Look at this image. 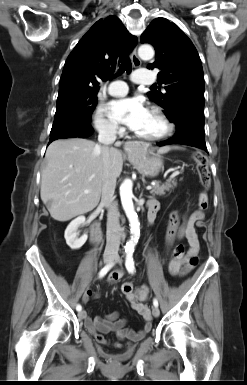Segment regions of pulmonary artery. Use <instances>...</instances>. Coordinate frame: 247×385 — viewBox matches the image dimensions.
<instances>
[{
	"mask_svg": "<svg viewBox=\"0 0 247 385\" xmlns=\"http://www.w3.org/2000/svg\"><path fill=\"white\" fill-rule=\"evenodd\" d=\"M133 82L138 84H152L154 78L149 71L140 69L131 76ZM128 91V86L124 81L116 80L108 85V92L113 96L125 95Z\"/></svg>",
	"mask_w": 247,
	"mask_h": 385,
	"instance_id": "pulmonary-artery-1",
	"label": "pulmonary artery"
}]
</instances>
